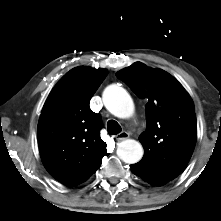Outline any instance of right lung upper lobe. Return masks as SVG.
Wrapping results in <instances>:
<instances>
[{"mask_svg": "<svg viewBox=\"0 0 221 221\" xmlns=\"http://www.w3.org/2000/svg\"><path fill=\"white\" fill-rule=\"evenodd\" d=\"M106 76L105 69L76 67L56 84L43 106L37 128L40 155L47 171L65 185L86 181L106 155L102 120L89 107Z\"/></svg>", "mask_w": 221, "mask_h": 221, "instance_id": "obj_1", "label": "right lung upper lobe"}]
</instances>
